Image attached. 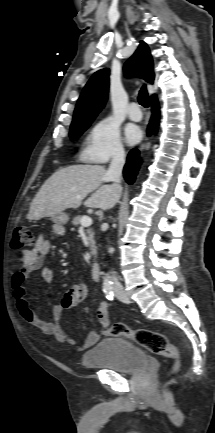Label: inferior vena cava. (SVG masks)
Segmentation results:
<instances>
[{"label": "inferior vena cava", "mask_w": 215, "mask_h": 433, "mask_svg": "<svg viewBox=\"0 0 215 433\" xmlns=\"http://www.w3.org/2000/svg\"><path fill=\"white\" fill-rule=\"evenodd\" d=\"M124 164H125L124 150L118 149L113 154L112 161L106 173V179L108 181H113L116 184H119L121 182L122 170ZM112 251H113L112 248H109V252L112 253ZM112 280H113L114 291L121 292L123 290V287L115 275L112 276Z\"/></svg>", "instance_id": "obj_1"}]
</instances>
